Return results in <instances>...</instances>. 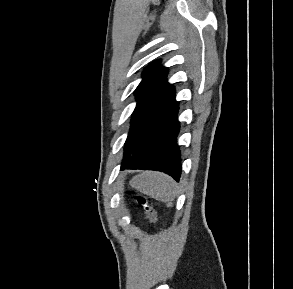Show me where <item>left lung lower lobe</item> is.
Segmentation results:
<instances>
[{"label": "left lung lower lobe", "mask_w": 293, "mask_h": 289, "mask_svg": "<svg viewBox=\"0 0 293 289\" xmlns=\"http://www.w3.org/2000/svg\"><path fill=\"white\" fill-rule=\"evenodd\" d=\"M177 113L178 103L175 101L173 89L131 125L125 143L131 157L121 165V170H156L179 181L181 159L176 143L179 132Z\"/></svg>", "instance_id": "left-lung-lower-lobe-1"}]
</instances>
